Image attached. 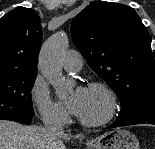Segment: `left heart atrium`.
Returning a JSON list of instances; mask_svg holds the SVG:
<instances>
[{"instance_id":"obj_1","label":"left heart atrium","mask_w":155,"mask_h":149,"mask_svg":"<svg viewBox=\"0 0 155 149\" xmlns=\"http://www.w3.org/2000/svg\"><path fill=\"white\" fill-rule=\"evenodd\" d=\"M86 92L87 89L84 87H78L74 91L73 95L68 101V107L72 113L79 115L86 98Z\"/></svg>"}]
</instances>
